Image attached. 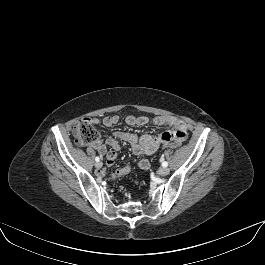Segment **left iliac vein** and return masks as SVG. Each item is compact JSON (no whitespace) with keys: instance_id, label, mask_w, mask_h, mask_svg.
<instances>
[{"instance_id":"left-iliac-vein-1","label":"left iliac vein","mask_w":265,"mask_h":265,"mask_svg":"<svg viewBox=\"0 0 265 265\" xmlns=\"http://www.w3.org/2000/svg\"><path fill=\"white\" fill-rule=\"evenodd\" d=\"M169 168H167V167H162V168H160L159 170H158V175H160V176H166V175H168L169 174Z\"/></svg>"}]
</instances>
